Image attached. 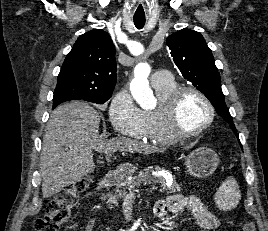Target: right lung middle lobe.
Returning a JSON list of instances; mask_svg holds the SVG:
<instances>
[{
	"label": "right lung middle lobe",
	"instance_id": "1",
	"mask_svg": "<svg viewBox=\"0 0 268 231\" xmlns=\"http://www.w3.org/2000/svg\"><path fill=\"white\" fill-rule=\"evenodd\" d=\"M63 92H54V98H53V108H55L57 105L59 104H55V101H58L61 99V97L63 96ZM110 97H106V98H96V99H89L86 101H91V102H95L97 104H103L105 103Z\"/></svg>",
	"mask_w": 268,
	"mask_h": 231
}]
</instances>
